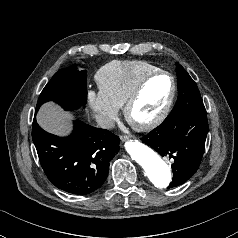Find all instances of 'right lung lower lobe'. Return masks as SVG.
I'll return each instance as SVG.
<instances>
[{"label":"right lung lower lobe","mask_w":238,"mask_h":238,"mask_svg":"<svg viewBox=\"0 0 238 238\" xmlns=\"http://www.w3.org/2000/svg\"><path fill=\"white\" fill-rule=\"evenodd\" d=\"M32 139L48 179L77 195L99 189L108 176L110 160L119 151V138L108 130L75 121L68 137L44 131L34 118Z\"/></svg>","instance_id":"right-lung-lower-lobe-1"}]
</instances>
